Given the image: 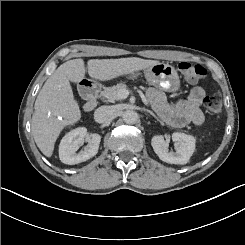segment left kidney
Here are the masks:
<instances>
[{"label": "left kidney", "instance_id": "left-kidney-1", "mask_svg": "<svg viewBox=\"0 0 245 245\" xmlns=\"http://www.w3.org/2000/svg\"><path fill=\"white\" fill-rule=\"evenodd\" d=\"M172 140L176 143V152H169V143L162 135H156L151 140V145L158 157L170 164H186L195 150L196 139L192 135L174 132Z\"/></svg>", "mask_w": 245, "mask_h": 245}]
</instances>
